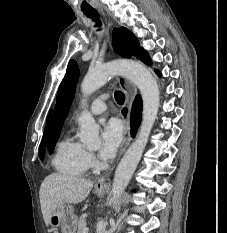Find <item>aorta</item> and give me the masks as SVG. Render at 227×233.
Here are the masks:
<instances>
[{
  "mask_svg": "<svg viewBox=\"0 0 227 233\" xmlns=\"http://www.w3.org/2000/svg\"><path fill=\"white\" fill-rule=\"evenodd\" d=\"M115 75H124L140 90L143 100L142 123L135 141L125 152L116 168L112 196L109 204L115 207L121 194L129 184L131 177L142 157L151 129L157 118L160 96L156 79L141 63L135 61H113L101 67L90 70L81 83V91L85 98L98 90ZM80 124V141L88 148H97L100 144L99 126L91 114L84 110L78 118Z\"/></svg>",
  "mask_w": 227,
  "mask_h": 233,
  "instance_id": "1",
  "label": "aorta"
}]
</instances>
